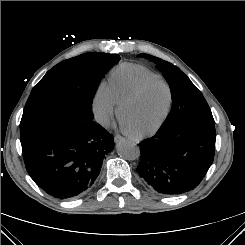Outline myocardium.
Segmentation results:
<instances>
[{
	"mask_svg": "<svg viewBox=\"0 0 245 245\" xmlns=\"http://www.w3.org/2000/svg\"><path fill=\"white\" fill-rule=\"evenodd\" d=\"M152 82H160L165 86V88L167 90L166 107H165V110H164L161 118L151 128L146 129V130H142V131H133V130L130 131L131 134H133L137 137H146V136H150V135L154 134L155 132H157L162 127V125L166 121V119L169 115L170 109H171L172 99H173L172 90H171L169 83L165 79H163L162 77H160L158 75L146 78L119 105V114L121 116V119H123V111H124L125 107L128 104L135 101L141 95V93L145 89V87Z\"/></svg>",
	"mask_w": 245,
	"mask_h": 245,
	"instance_id": "obj_1",
	"label": "myocardium"
}]
</instances>
